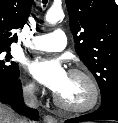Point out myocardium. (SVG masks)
<instances>
[{
	"label": "myocardium",
	"mask_w": 118,
	"mask_h": 123,
	"mask_svg": "<svg viewBox=\"0 0 118 123\" xmlns=\"http://www.w3.org/2000/svg\"><path fill=\"white\" fill-rule=\"evenodd\" d=\"M69 74L82 77L86 81L90 89V97L83 104L72 105V104H68L64 102L57 95V93H55L53 96L55 104L61 109L70 113H85V112L91 111L97 106L100 99V89H99L97 81L95 80V78L89 71L83 68H73L69 71Z\"/></svg>",
	"instance_id": "myocardium-1"
}]
</instances>
